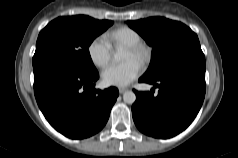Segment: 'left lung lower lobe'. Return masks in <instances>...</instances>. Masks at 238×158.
I'll use <instances>...</instances> for the list:
<instances>
[{"label":"left lung lower lobe","mask_w":238,"mask_h":158,"mask_svg":"<svg viewBox=\"0 0 238 158\" xmlns=\"http://www.w3.org/2000/svg\"><path fill=\"white\" fill-rule=\"evenodd\" d=\"M205 59H196L170 67L155 79L139 82L159 88L150 92L134 90L136 101L132 116L137 128L155 138H170L185 130L199 112L206 90Z\"/></svg>","instance_id":"0a47b994"}]
</instances>
